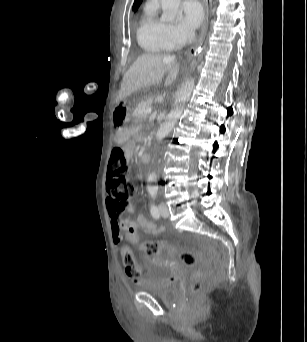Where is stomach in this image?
<instances>
[{
	"instance_id": "1",
	"label": "stomach",
	"mask_w": 307,
	"mask_h": 342,
	"mask_svg": "<svg viewBox=\"0 0 307 342\" xmlns=\"http://www.w3.org/2000/svg\"><path fill=\"white\" fill-rule=\"evenodd\" d=\"M131 119L129 107H116L113 111V121L119 128H125Z\"/></svg>"
}]
</instances>
